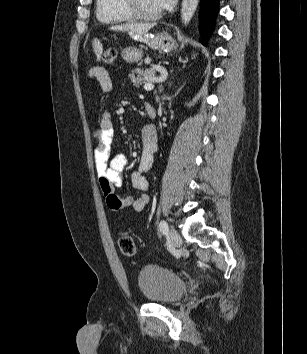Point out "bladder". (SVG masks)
<instances>
[{"instance_id":"1","label":"bladder","mask_w":307,"mask_h":354,"mask_svg":"<svg viewBox=\"0 0 307 354\" xmlns=\"http://www.w3.org/2000/svg\"><path fill=\"white\" fill-rule=\"evenodd\" d=\"M137 284L142 296L152 303H175L186 290V282L181 276L156 264L140 269Z\"/></svg>"}]
</instances>
